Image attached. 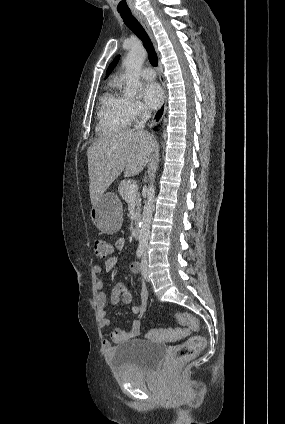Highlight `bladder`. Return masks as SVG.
Listing matches in <instances>:
<instances>
[{"label":"bladder","mask_w":285,"mask_h":424,"mask_svg":"<svg viewBox=\"0 0 285 424\" xmlns=\"http://www.w3.org/2000/svg\"><path fill=\"white\" fill-rule=\"evenodd\" d=\"M167 352L163 343L145 339H132L119 344L111 364L128 372L150 373L157 368Z\"/></svg>","instance_id":"31cf9c89"}]
</instances>
